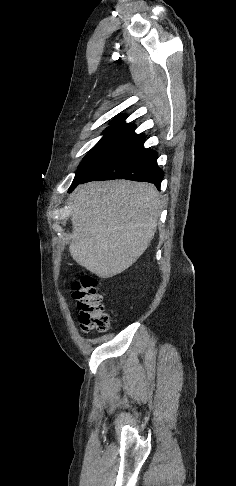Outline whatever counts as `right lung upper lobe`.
I'll return each instance as SVG.
<instances>
[{"instance_id":"1","label":"right lung upper lobe","mask_w":236,"mask_h":486,"mask_svg":"<svg viewBox=\"0 0 236 486\" xmlns=\"http://www.w3.org/2000/svg\"><path fill=\"white\" fill-rule=\"evenodd\" d=\"M125 119H126V116L125 115H122V116H119L117 117L116 119H114L111 123H110V127H120V126H134L132 124H126L125 123Z\"/></svg>"}]
</instances>
